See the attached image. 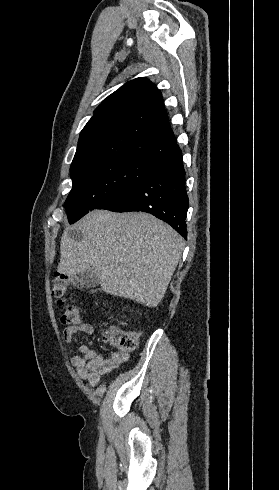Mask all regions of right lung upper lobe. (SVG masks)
<instances>
[{
    "label": "right lung upper lobe",
    "mask_w": 279,
    "mask_h": 490,
    "mask_svg": "<svg viewBox=\"0 0 279 490\" xmlns=\"http://www.w3.org/2000/svg\"><path fill=\"white\" fill-rule=\"evenodd\" d=\"M162 94L144 77L108 96L80 133L71 164L76 168L104 159L155 163L177 149Z\"/></svg>",
    "instance_id": "cb5924a9"
}]
</instances>
